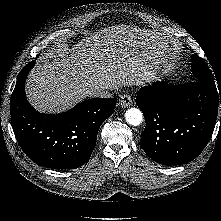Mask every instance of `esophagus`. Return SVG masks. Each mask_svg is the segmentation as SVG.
<instances>
[{"label": "esophagus", "instance_id": "1", "mask_svg": "<svg viewBox=\"0 0 221 221\" xmlns=\"http://www.w3.org/2000/svg\"><path fill=\"white\" fill-rule=\"evenodd\" d=\"M131 104H132V100H131V97L129 95L124 94L120 97L119 105L121 107L127 108V107L131 106Z\"/></svg>", "mask_w": 221, "mask_h": 221}]
</instances>
